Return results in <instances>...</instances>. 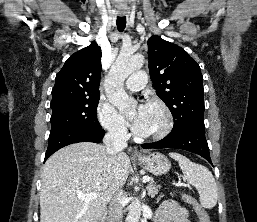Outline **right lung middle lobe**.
<instances>
[{
    "mask_svg": "<svg viewBox=\"0 0 257 222\" xmlns=\"http://www.w3.org/2000/svg\"><path fill=\"white\" fill-rule=\"evenodd\" d=\"M100 95L51 101L50 135L68 129L100 130L96 110Z\"/></svg>",
    "mask_w": 257,
    "mask_h": 222,
    "instance_id": "right-lung-middle-lobe-1",
    "label": "right lung middle lobe"
}]
</instances>
